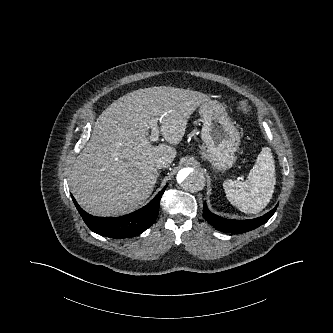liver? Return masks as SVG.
I'll use <instances>...</instances> for the list:
<instances>
[{
	"label": "liver",
	"instance_id": "obj_1",
	"mask_svg": "<svg viewBox=\"0 0 333 333\" xmlns=\"http://www.w3.org/2000/svg\"><path fill=\"white\" fill-rule=\"evenodd\" d=\"M209 97L174 87H151L130 92L98 117L91 138L76 158L69 177L79 205L97 216H119L146 201L158 178L155 161L172 162L191 114ZM158 119L160 132L171 145L153 146L149 122Z\"/></svg>",
	"mask_w": 333,
	"mask_h": 333
}]
</instances>
